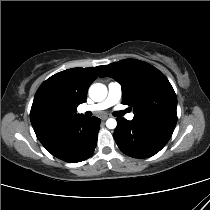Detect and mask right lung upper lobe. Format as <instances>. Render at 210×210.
Here are the masks:
<instances>
[{
	"label": "right lung upper lobe",
	"instance_id": "1",
	"mask_svg": "<svg viewBox=\"0 0 210 210\" xmlns=\"http://www.w3.org/2000/svg\"><path fill=\"white\" fill-rule=\"evenodd\" d=\"M102 68L103 66H97L64 70L41 84L35 94L30 112L31 124L37 138L82 115L76 114V108L86 101L87 90ZM46 114H52L55 122L46 128H41L39 121Z\"/></svg>",
	"mask_w": 210,
	"mask_h": 210
}]
</instances>
